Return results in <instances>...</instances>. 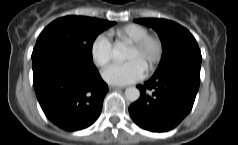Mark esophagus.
Listing matches in <instances>:
<instances>
[{"mask_svg": "<svg viewBox=\"0 0 238 145\" xmlns=\"http://www.w3.org/2000/svg\"><path fill=\"white\" fill-rule=\"evenodd\" d=\"M109 89L110 90H123V89H125V87L111 85V86H109Z\"/></svg>", "mask_w": 238, "mask_h": 145, "instance_id": "34e87169", "label": "esophagus"}]
</instances>
